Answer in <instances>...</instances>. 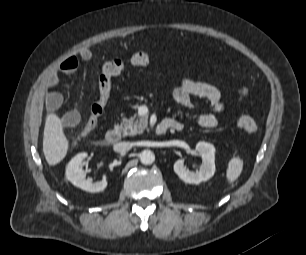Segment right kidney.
Instances as JSON below:
<instances>
[{"instance_id":"ca27d5eb","label":"right kidney","mask_w":306,"mask_h":255,"mask_svg":"<svg viewBox=\"0 0 306 255\" xmlns=\"http://www.w3.org/2000/svg\"><path fill=\"white\" fill-rule=\"evenodd\" d=\"M87 157V153H79L66 166V178L74 186L81 188L84 191L95 193L103 191L107 187V181L91 182L86 179V174L81 169L82 161Z\"/></svg>"}]
</instances>
